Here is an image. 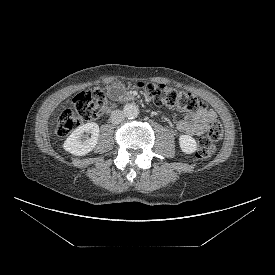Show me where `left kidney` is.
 <instances>
[{
    "label": "left kidney",
    "mask_w": 275,
    "mask_h": 275,
    "mask_svg": "<svg viewBox=\"0 0 275 275\" xmlns=\"http://www.w3.org/2000/svg\"><path fill=\"white\" fill-rule=\"evenodd\" d=\"M179 143L181 150L186 154L195 152L197 144L194 138L189 135H181L179 137Z\"/></svg>",
    "instance_id": "5707ae66"
}]
</instances>
